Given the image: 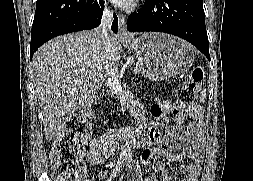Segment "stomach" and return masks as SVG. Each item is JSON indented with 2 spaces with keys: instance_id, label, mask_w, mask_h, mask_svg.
I'll use <instances>...</instances> for the list:
<instances>
[{
  "instance_id": "1",
  "label": "stomach",
  "mask_w": 253,
  "mask_h": 181,
  "mask_svg": "<svg viewBox=\"0 0 253 181\" xmlns=\"http://www.w3.org/2000/svg\"><path fill=\"white\" fill-rule=\"evenodd\" d=\"M137 60L143 77L158 81L186 72L194 62L191 46L182 39L163 33H144L126 42Z\"/></svg>"
}]
</instances>
